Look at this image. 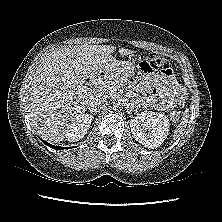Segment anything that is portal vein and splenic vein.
<instances>
[{
  "instance_id": "obj_1",
  "label": "portal vein and splenic vein",
  "mask_w": 222,
  "mask_h": 222,
  "mask_svg": "<svg viewBox=\"0 0 222 222\" xmlns=\"http://www.w3.org/2000/svg\"><path fill=\"white\" fill-rule=\"evenodd\" d=\"M106 87H107V89H113V90H115L116 85H113V86H106Z\"/></svg>"
}]
</instances>
